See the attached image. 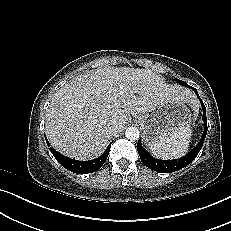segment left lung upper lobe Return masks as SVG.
Segmentation results:
<instances>
[{
	"label": "left lung upper lobe",
	"instance_id": "5c2ea615",
	"mask_svg": "<svg viewBox=\"0 0 231 231\" xmlns=\"http://www.w3.org/2000/svg\"><path fill=\"white\" fill-rule=\"evenodd\" d=\"M179 81V80H178ZM180 82V84H183L184 82L183 81H179Z\"/></svg>",
	"mask_w": 231,
	"mask_h": 231
}]
</instances>
